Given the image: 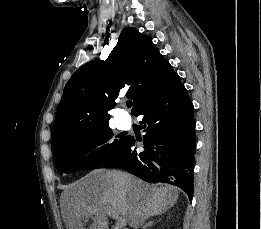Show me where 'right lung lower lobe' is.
Instances as JSON below:
<instances>
[{
	"mask_svg": "<svg viewBox=\"0 0 261 229\" xmlns=\"http://www.w3.org/2000/svg\"><path fill=\"white\" fill-rule=\"evenodd\" d=\"M194 107L177 76L157 97L136 113L143 115L145 150L129 139L123 150L106 165L120 168L150 183H168L193 197L196 151Z\"/></svg>",
	"mask_w": 261,
	"mask_h": 229,
	"instance_id": "right-lung-lower-lobe-1",
	"label": "right lung lower lobe"
}]
</instances>
